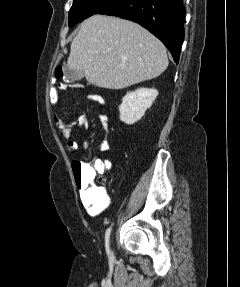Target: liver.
Listing matches in <instances>:
<instances>
[{"label": "liver", "instance_id": "1", "mask_svg": "<svg viewBox=\"0 0 240 287\" xmlns=\"http://www.w3.org/2000/svg\"><path fill=\"white\" fill-rule=\"evenodd\" d=\"M67 67L95 86L118 90L158 77L168 58L162 42L137 23L93 15L73 39Z\"/></svg>", "mask_w": 240, "mask_h": 287}]
</instances>
